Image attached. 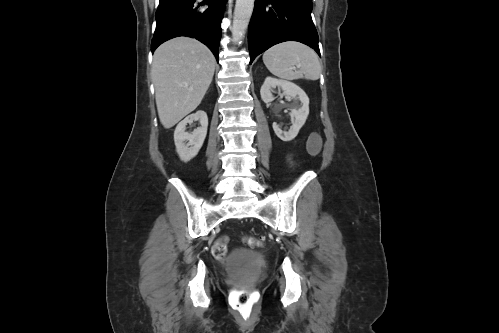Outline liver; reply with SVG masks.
<instances>
[{
	"label": "liver",
	"instance_id": "6515ba94",
	"mask_svg": "<svg viewBox=\"0 0 499 333\" xmlns=\"http://www.w3.org/2000/svg\"><path fill=\"white\" fill-rule=\"evenodd\" d=\"M215 63L212 52L193 38L177 37L157 48L151 74L164 128L173 127L198 107L212 82Z\"/></svg>",
	"mask_w": 499,
	"mask_h": 333
}]
</instances>
